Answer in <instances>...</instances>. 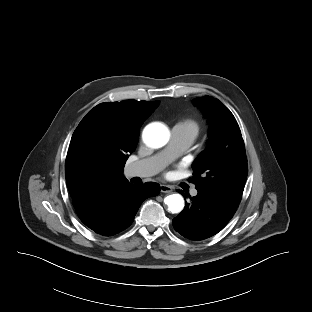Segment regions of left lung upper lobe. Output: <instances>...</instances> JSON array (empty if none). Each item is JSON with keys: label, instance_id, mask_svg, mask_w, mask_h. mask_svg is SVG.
I'll list each match as a JSON object with an SVG mask.
<instances>
[{"label": "left lung upper lobe", "instance_id": "5c2ea615", "mask_svg": "<svg viewBox=\"0 0 312 312\" xmlns=\"http://www.w3.org/2000/svg\"><path fill=\"white\" fill-rule=\"evenodd\" d=\"M193 102L203 109L211 123L208 147L192 165L196 189L217 195L237 208L248 174L245 146L238 123L218 99L205 96Z\"/></svg>", "mask_w": 312, "mask_h": 312}]
</instances>
